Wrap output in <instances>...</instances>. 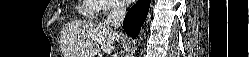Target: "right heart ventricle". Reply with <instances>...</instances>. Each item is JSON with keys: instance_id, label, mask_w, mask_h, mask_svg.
<instances>
[{"instance_id": "e07e8e85", "label": "right heart ventricle", "mask_w": 249, "mask_h": 57, "mask_svg": "<svg viewBox=\"0 0 249 57\" xmlns=\"http://www.w3.org/2000/svg\"><path fill=\"white\" fill-rule=\"evenodd\" d=\"M80 11L88 18H94L97 12V3L95 0H84Z\"/></svg>"}]
</instances>
